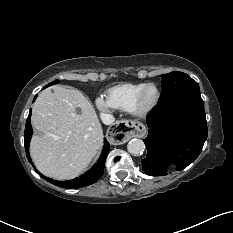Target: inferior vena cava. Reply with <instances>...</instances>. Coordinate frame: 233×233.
<instances>
[{
    "label": "inferior vena cava",
    "mask_w": 233,
    "mask_h": 233,
    "mask_svg": "<svg viewBox=\"0 0 233 233\" xmlns=\"http://www.w3.org/2000/svg\"><path fill=\"white\" fill-rule=\"evenodd\" d=\"M101 120L105 125H110L114 122L115 118L113 115L111 114H107V113H102L101 114Z\"/></svg>",
    "instance_id": "1"
}]
</instances>
